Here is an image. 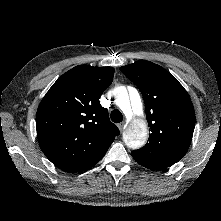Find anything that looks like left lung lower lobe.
I'll return each instance as SVG.
<instances>
[{
  "mask_svg": "<svg viewBox=\"0 0 221 221\" xmlns=\"http://www.w3.org/2000/svg\"><path fill=\"white\" fill-rule=\"evenodd\" d=\"M133 158L135 159L136 162H138L140 165L152 169V170H162L167 168V166H164L162 164L156 163V162H152V161H148L145 159H141L139 157H136L132 154Z\"/></svg>",
  "mask_w": 221,
  "mask_h": 221,
  "instance_id": "left-lung-lower-lobe-1",
  "label": "left lung lower lobe"
}]
</instances>
